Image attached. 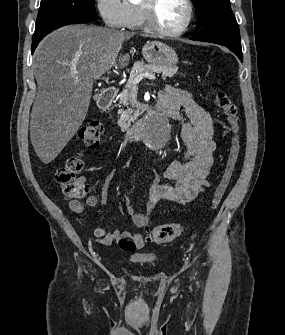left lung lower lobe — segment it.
Returning <instances> with one entry per match:
<instances>
[{
	"label": "left lung lower lobe",
	"mask_w": 285,
	"mask_h": 335,
	"mask_svg": "<svg viewBox=\"0 0 285 335\" xmlns=\"http://www.w3.org/2000/svg\"><path fill=\"white\" fill-rule=\"evenodd\" d=\"M191 39L226 46L243 61L240 33L236 19L214 21L205 25L204 29Z\"/></svg>",
	"instance_id": "0a47b994"
}]
</instances>
